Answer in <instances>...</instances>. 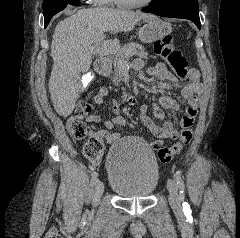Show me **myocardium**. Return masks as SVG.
Returning <instances> with one entry per match:
<instances>
[{"instance_id": "obj_1", "label": "myocardium", "mask_w": 240, "mask_h": 238, "mask_svg": "<svg viewBox=\"0 0 240 238\" xmlns=\"http://www.w3.org/2000/svg\"><path fill=\"white\" fill-rule=\"evenodd\" d=\"M116 5L123 8H140L149 5L153 0H145L142 2H127L124 0H112Z\"/></svg>"}]
</instances>
